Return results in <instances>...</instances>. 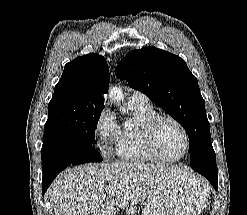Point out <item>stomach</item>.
Here are the masks:
<instances>
[{"mask_svg": "<svg viewBox=\"0 0 247 215\" xmlns=\"http://www.w3.org/2000/svg\"><path fill=\"white\" fill-rule=\"evenodd\" d=\"M208 196L203 179L185 170L166 180L147 199L143 215H199Z\"/></svg>", "mask_w": 247, "mask_h": 215, "instance_id": "1", "label": "stomach"}]
</instances>
